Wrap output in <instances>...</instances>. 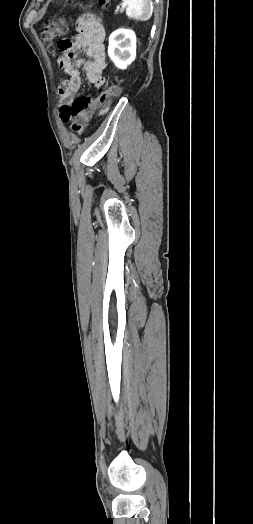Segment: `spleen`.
I'll return each mask as SVG.
<instances>
[{
    "instance_id": "3e777b00",
    "label": "spleen",
    "mask_w": 253,
    "mask_h": 524,
    "mask_svg": "<svg viewBox=\"0 0 253 524\" xmlns=\"http://www.w3.org/2000/svg\"><path fill=\"white\" fill-rule=\"evenodd\" d=\"M127 6L126 15L137 21H147L153 12L151 0H122Z\"/></svg>"
}]
</instances>
